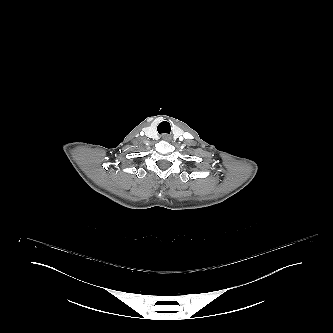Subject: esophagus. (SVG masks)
Listing matches in <instances>:
<instances>
[{
  "mask_svg": "<svg viewBox=\"0 0 333 333\" xmlns=\"http://www.w3.org/2000/svg\"><path fill=\"white\" fill-rule=\"evenodd\" d=\"M162 138H163L164 140H169V139H171L170 136H168V135H163Z\"/></svg>",
  "mask_w": 333,
  "mask_h": 333,
  "instance_id": "obj_1",
  "label": "esophagus"
}]
</instances>
